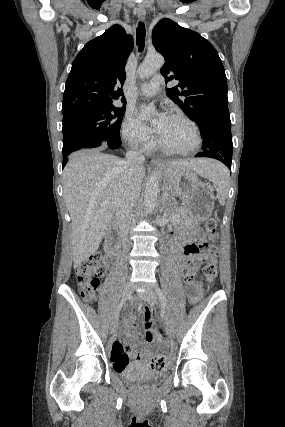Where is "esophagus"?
<instances>
[{
	"label": "esophagus",
	"mask_w": 285,
	"mask_h": 427,
	"mask_svg": "<svg viewBox=\"0 0 285 427\" xmlns=\"http://www.w3.org/2000/svg\"><path fill=\"white\" fill-rule=\"evenodd\" d=\"M145 16H146L145 8L143 6H139L138 7V18L140 20H144ZM150 164H151V166H156V165L161 164V161L153 159V160H151Z\"/></svg>",
	"instance_id": "1"
}]
</instances>
